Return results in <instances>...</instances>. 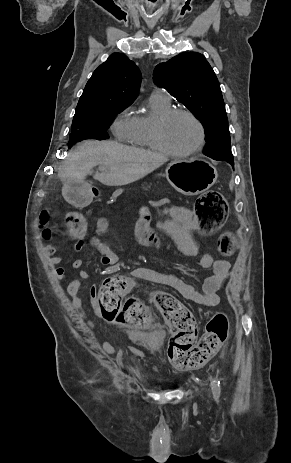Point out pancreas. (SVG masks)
<instances>
[{
  "label": "pancreas",
  "mask_w": 291,
  "mask_h": 463,
  "mask_svg": "<svg viewBox=\"0 0 291 463\" xmlns=\"http://www.w3.org/2000/svg\"><path fill=\"white\" fill-rule=\"evenodd\" d=\"M163 189V186L159 183H145L141 186V190L144 193L158 194Z\"/></svg>",
  "instance_id": "1"
}]
</instances>
